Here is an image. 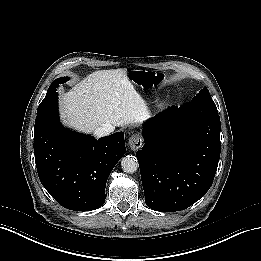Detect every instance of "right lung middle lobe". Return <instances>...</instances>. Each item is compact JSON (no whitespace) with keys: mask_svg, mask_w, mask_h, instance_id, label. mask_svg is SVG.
<instances>
[{"mask_svg":"<svg viewBox=\"0 0 261 261\" xmlns=\"http://www.w3.org/2000/svg\"><path fill=\"white\" fill-rule=\"evenodd\" d=\"M69 77H62V78H58L55 81L52 82V84L50 85L47 94L44 98V100L42 102L45 101V99H48L51 97V95H53L56 92V88L59 86V84L65 83L69 80ZM41 102V103H42Z\"/></svg>","mask_w":261,"mask_h":261,"instance_id":"obj_1","label":"right lung middle lobe"}]
</instances>
